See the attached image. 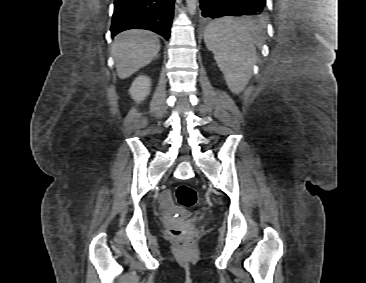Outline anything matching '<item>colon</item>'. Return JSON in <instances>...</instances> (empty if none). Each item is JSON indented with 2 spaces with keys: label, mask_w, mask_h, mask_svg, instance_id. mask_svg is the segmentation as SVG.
<instances>
[{
  "label": "colon",
  "mask_w": 366,
  "mask_h": 283,
  "mask_svg": "<svg viewBox=\"0 0 366 283\" xmlns=\"http://www.w3.org/2000/svg\"><path fill=\"white\" fill-rule=\"evenodd\" d=\"M175 199L183 207H192L197 203V192L189 185L180 184L175 189ZM178 244L183 245L188 241V234L181 229L171 231Z\"/></svg>",
  "instance_id": "colon-1"
}]
</instances>
